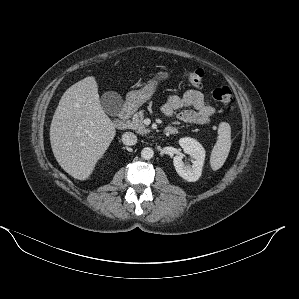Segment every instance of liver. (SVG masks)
<instances>
[{"mask_svg":"<svg viewBox=\"0 0 299 299\" xmlns=\"http://www.w3.org/2000/svg\"><path fill=\"white\" fill-rule=\"evenodd\" d=\"M115 134L101 106L95 77H86L64 92L50 126L51 148L64 171L75 179H88Z\"/></svg>","mask_w":299,"mask_h":299,"instance_id":"obj_1","label":"liver"}]
</instances>
